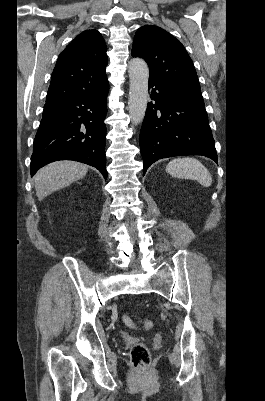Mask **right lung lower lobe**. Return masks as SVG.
I'll list each match as a JSON object with an SVG mask.
<instances>
[{"instance_id": "98d812e1", "label": "right lung lower lobe", "mask_w": 265, "mask_h": 401, "mask_svg": "<svg viewBox=\"0 0 265 401\" xmlns=\"http://www.w3.org/2000/svg\"><path fill=\"white\" fill-rule=\"evenodd\" d=\"M104 89L44 106L33 144L31 176L57 160H75L97 168L107 178Z\"/></svg>"}]
</instances>
